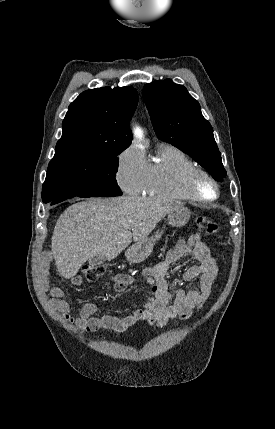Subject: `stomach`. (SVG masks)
I'll use <instances>...</instances> for the list:
<instances>
[{
  "label": "stomach",
  "mask_w": 275,
  "mask_h": 429,
  "mask_svg": "<svg viewBox=\"0 0 275 429\" xmlns=\"http://www.w3.org/2000/svg\"><path fill=\"white\" fill-rule=\"evenodd\" d=\"M190 218V211L184 206H179L168 214V222L174 227L184 226ZM162 231H156L153 236L133 244L125 253L129 262L138 263L144 261L152 252L155 243L160 240Z\"/></svg>",
  "instance_id": "stomach-1"
}]
</instances>
